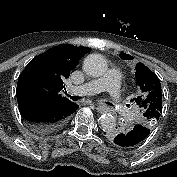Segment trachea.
Listing matches in <instances>:
<instances>
[{
	"mask_svg": "<svg viewBox=\"0 0 177 177\" xmlns=\"http://www.w3.org/2000/svg\"><path fill=\"white\" fill-rule=\"evenodd\" d=\"M73 101H77L79 99H81L82 97H79V96H69ZM106 104L108 105H111L112 106V103H109V102H106Z\"/></svg>",
	"mask_w": 177,
	"mask_h": 177,
	"instance_id": "obj_1",
	"label": "trachea"
}]
</instances>
